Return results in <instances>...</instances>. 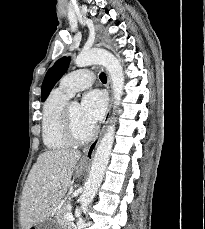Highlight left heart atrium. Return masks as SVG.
Returning a JSON list of instances; mask_svg holds the SVG:
<instances>
[{"mask_svg":"<svg viewBox=\"0 0 205 229\" xmlns=\"http://www.w3.org/2000/svg\"><path fill=\"white\" fill-rule=\"evenodd\" d=\"M106 106V95L100 90H91L83 96L80 104L81 116L93 127L104 115Z\"/></svg>","mask_w":205,"mask_h":229,"instance_id":"1","label":"left heart atrium"}]
</instances>
